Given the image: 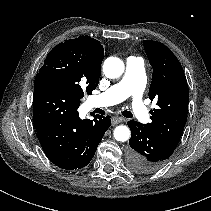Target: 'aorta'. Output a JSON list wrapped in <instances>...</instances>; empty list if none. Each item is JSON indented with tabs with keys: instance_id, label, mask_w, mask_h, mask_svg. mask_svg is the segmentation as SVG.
Wrapping results in <instances>:
<instances>
[{
	"instance_id": "obj_1",
	"label": "aorta",
	"mask_w": 211,
	"mask_h": 211,
	"mask_svg": "<svg viewBox=\"0 0 211 211\" xmlns=\"http://www.w3.org/2000/svg\"><path fill=\"white\" fill-rule=\"evenodd\" d=\"M103 72L108 78H117L124 72V63L120 58L109 57L104 61ZM130 137V130L125 125H119L114 129V138L117 141L125 142Z\"/></svg>"
}]
</instances>
